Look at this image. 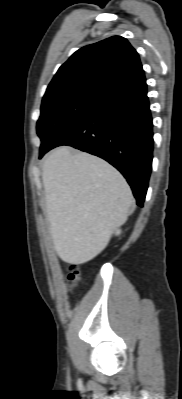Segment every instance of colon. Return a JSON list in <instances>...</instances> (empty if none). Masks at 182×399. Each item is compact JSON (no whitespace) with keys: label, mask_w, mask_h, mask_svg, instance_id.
<instances>
[{"label":"colon","mask_w":182,"mask_h":399,"mask_svg":"<svg viewBox=\"0 0 182 399\" xmlns=\"http://www.w3.org/2000/svg\"><path fill=\"white\" fill-rule=\"evenodd\" d=\"M82 282V272L77 266H71L70 268V287L72 289L77 288Z\"/></svg>","instance_id":"5ec220e1"}]
</instances>
